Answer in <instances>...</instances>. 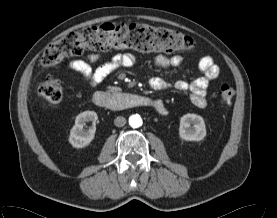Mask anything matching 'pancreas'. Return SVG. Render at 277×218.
Listing matches in <instances>:
<instances>
[{
    "label": "pancreas",
    "mask_w": 277,
    "mask_h": 218,
    "mask_svg": "<svg viewBox=\"0 0 277 218\" xmlns=\"http://www.w3.org/2000/svg\"><path fill=\"white\" fill-rule=\"evenodd\" d=\"M108 89H109V92L114 95H118L121 93V89L119 87L109 86Z\"/></svg>",
    "instance_id": "obj_1"
}]
</instances>
